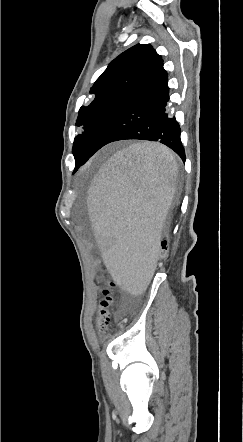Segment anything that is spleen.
<instances>
[{
    "instance_id": "1",
    "label": "spleen",
    "mask_w": 243,
    "mask_h": 442,
    "mask_svg": "<svg viewBox=\"0 0 243 442\" xmlns=\"http://www.w3.org/2000/svg\"><path fill=\"white\" fill-rule=\"evenodd\" d=\"M177 175L173 153L158 143L143 142L117 152L104 172H95L89 193L87 226L100 242L99 258L112 268L126 296H143L161 251L162 219L172 209ZM159 192V193H138Z\"/></svg>"
}]
</instances>
